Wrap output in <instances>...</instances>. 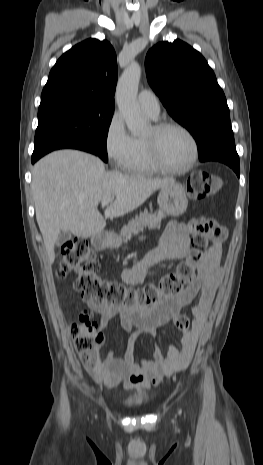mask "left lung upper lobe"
<instances>
[{"label": "left lung upper lobe", "mask_w": 263, "mask_h": 465, "mask_svg": "<svg viewBox=\"0 0 263 465\" xmlns=\"http://www.w3.org/2000/svg\"><path fill=\"white\" fill-rule=\"evenodd\" d=\"M145 65L152 89L196 140L199 158L235 145L225 95L198 51L181 40L161 42L149 50Z\"/></svg>", "instance_id": "left-lung-upper-lobe-1"}]
</instances>
